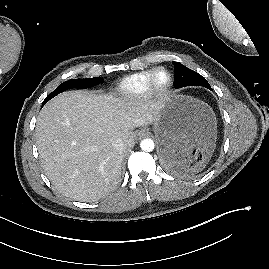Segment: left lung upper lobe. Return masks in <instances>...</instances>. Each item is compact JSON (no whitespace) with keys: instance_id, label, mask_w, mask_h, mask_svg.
Listing matches in <instances>:
<instances>
[{"instance_id":"left-lung-upper-lobe-1","label":"left lung upper lobe","mask_w":269,"mask_h":269,"mask_svg":"<svg viewBox=\"0 0 269 269\" xmlns=\"http://www.w3.org/2000/svg\"><path fill=\"white\" fill-rule=\"evenodd\" d=\"M175 69V88L185 86H203L211 90L206 79L197 72L187 68L179 62H173Z\"/></svg>"}]
</instances>
